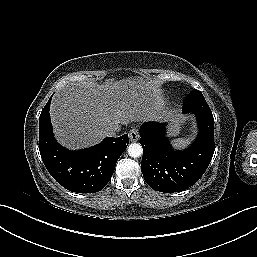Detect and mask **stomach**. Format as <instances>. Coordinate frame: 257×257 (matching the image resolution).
I'll return each instance as SVG.
<instances>
[{"instance_id": "1", "label": "stomach", "mask_w": 257, "mask_h": 257, "mask_svg": "<svg viewBox=\"0 0 257 257\" xmlns=\"http://www.w3.org/2000/svg\"><path fill=\"white\" fill-rule=\"evenodd\" d=\"M180 132V126L178 124H174L170 128V134L171 135H177Z\"/></svg>"}]
</instances>
